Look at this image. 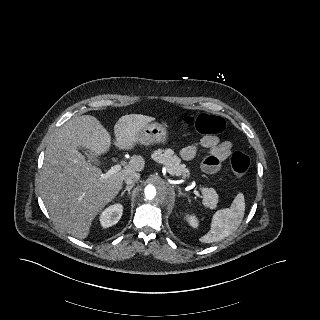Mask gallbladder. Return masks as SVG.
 I'll return each mask as SVG.
<instances>
[{"mask_svg": "<svg viewBox=\"0 0 320 320\" xmlns=\"http://www.w3.org/2000/svg\"><path fill=\"white\" fill-rule=\"evenodd\" d=\"M80 152L88 158L89 162L97 163V161H98L97 156L94 155L93 153L89 152L85 148H80Z\"/></svg>", "mask_w": 320, "mask_h": 320, "instance_id": "obj_1", "label": "gallbladder"}]
</instances>
